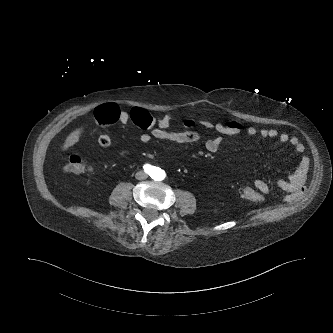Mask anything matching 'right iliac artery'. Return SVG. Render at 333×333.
<instances>
[{
	"mask_svg": "<svg viewBox=\"0 0 333 333\" xmlns=\"http://www.w3.org/2000/svg\"><path fill=\"white\" fill-rule=\"evenodd\" d=\"M143 168H144V171L146 172V173H148V174H152L154 171H155V166H152V165H150V164H145L144 166H143Z\"/></svg>",
	"mask_w": 333,
	"mask_h": 333,
	"instance_id": "right-iliac-artery-1",
	"label": "right iliac artery"
}]
</instances>
